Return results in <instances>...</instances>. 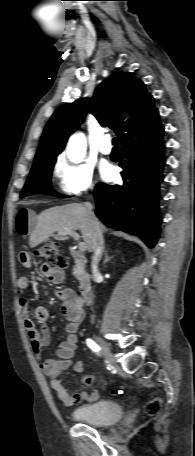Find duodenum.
<instances>
[{
	"label": "duodenum",
	"instance_id": "duodenum-1",
	"mask_svg": "<svg viewBox=\"0 0 195 456\" xmlns=\"http://www.w3.org/2000/svg\"><path fill=\"white\" fill-rule=\"evenodd\" d=\"M72 258L75 263L82 267L86 263V258L77 251H71ZM80 293L85 304H89L92 299V287L88 278H82L80 282Z\"/></svg>",
	"mask_w": 195,
	"mask_h": 456
}]
</instances>
